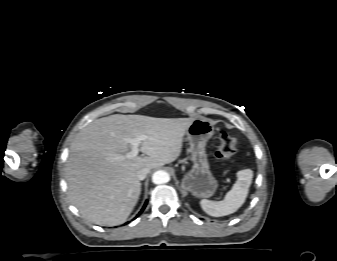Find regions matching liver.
Instances as JSON below:
<instances>
[{
    "mask_svg": "<svg viewBox=\"0 0 337 261\" xmlns=\"http://www.w3.org/2000/svg\"><path fill=\"white\" fill-rule=\"evenodd\" d=\"M193 118H155L114 114L94 120L72 142L65 168L69 198L82 216L104 226L126 221L138 202L143 168L175 161ZM146 135L140 151L147 156L114 160L125 155V138Z\"/></svg>",
    "mask_w": 337,
    "mask_h": 261,
    "instance_id": "6515ba94",
    "label": "liver"
}]
</instances>
